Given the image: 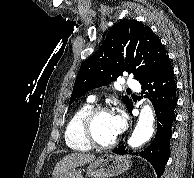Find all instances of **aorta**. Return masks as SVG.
<instances>
[{"label":"aorta","instance_id":"762f6f07","mask_svg":"<svg viewBox=\"0 0 194 178\" xmlns=\"http://www.w3.org/2000/svg\"><path fill=\"white\" fill-rule=\"evenodd\" d=\"M153 122V110L149 105L143 106L140 112L138 123L128 140V144L132 148L140 147L152 137L154 132Z\"/></svg>","mask_w":194,"mask_h":178}]
</instances>
